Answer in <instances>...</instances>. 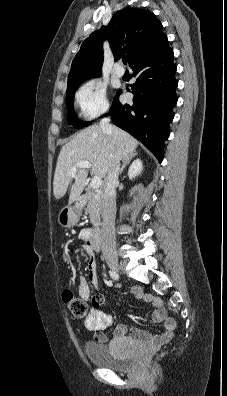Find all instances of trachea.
I'll use <instances>...</instances> for the list:
<instances>
[{
    "mask_svg": "<svg viewBox=\"0 0 227 396\" xmlns=\"http://www.w3.org/2000/svg\"><path fill=\"white\" fill-rule=\"evenodd\" d=\"M122 61H123L124 64H126V63H127V58L124 57V58L122 59Z\"/></svg>",
    "mask_w": 227,
    "mask_h": 396,
    "instance_id": "3493384b",
    "label": "trachea"
}]
</instances>
